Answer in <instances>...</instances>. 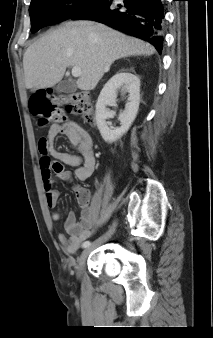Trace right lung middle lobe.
Segmentation results:
<instances>
[{
  "label": "right lung middle lobe",
  "mask_w": 213,
  "mask_h": 338,
  "mask_svg": "<svg viewBox=\"0 0 213 338\" xmlns=\"http://www.w3.org/2000/svg\"><path fill=\"white\" fill-rule=\"evenodd\" d=\"M95 0H32L29 7L31 32L70 19Z\"/></svg>",
  "instance_id": "obj_1"
}]
</instances>
